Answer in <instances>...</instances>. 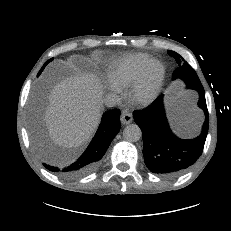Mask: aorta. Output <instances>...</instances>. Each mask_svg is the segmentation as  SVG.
<instances>
[{"label": "aorta", "instance_id": "aorta-1", "mask_svg": "<svg viewBox=\"0 0 231 231\" xmlns=\"http://www.w3.org/2000/svg\"><path fill=\"white\" fill-rule=\"evenodd\" d=\"M141 136V129L136 124H129L123 130V137L129 142H137Z\"/></svg>", "mask_w": 231, "mask_h": 231}]
</instances>
